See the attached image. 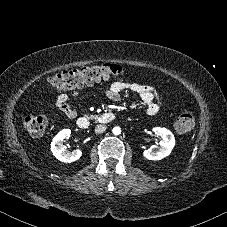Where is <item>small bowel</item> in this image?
<instances>
[{
  "label": "small bowel",
  "mask_w": 227,
  "mask_h": 227,
  "mask_svg": "<svg viewBox=\"0 0 227 227\" xmlns=\"http://www.w3.org/2000/svg\"><path fill=\"white\" fill-rule=\"evenodd\" d=\"M133 91L137 93L142 101L145 111L148 115L158 113L161 108V102L157 90L150 85L127 82H113L108 84L105 95L107 98L117 101L120 99L124 91ZM84 91H74L70 94H61L55 101V106L64 113L68 118H74L76 108L74 102L81 96H84Z\"/></svg>",
  "instance_id": "small-bowel-1"
}]
</instances>
